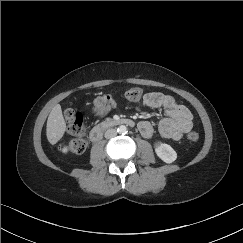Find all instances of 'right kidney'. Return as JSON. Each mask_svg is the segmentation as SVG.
<instances>
[{"instance_id":"right-kidney-1","label":"right kidney","mask_w":243,"mask_h":243,"mask_svg":"<svg viewBox=\"0 0 243 243\" xmlns=\"http://www.w3.org/2000/svg\"><path fill=\"white\" fill-rule=\"evenodd\" d=\"M62 152L66 154V153L68 152V148H67V147H64V148L62 149Z\"/></svg>"}]
</instances>
